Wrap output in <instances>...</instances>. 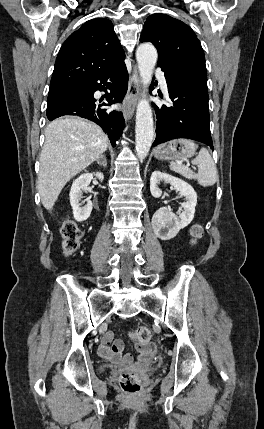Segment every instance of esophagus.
Listing matches in <instances>:
<instances>
[{
	"label": "esophagus",
	"instance_id": "1",
	"mask_svg": "<svg viewBox=\"0 0 264 429\" xmlns=\"http://www.w3.org/2000/svg\"><path fill=\"white\" fill-rule=\"evenodd\" d=\"M140 92V77L137 67H133L132 75L129 79L128 91L123 102V116L129 121L135 112L137 97Z\"/></svg>",
	"mask_w": 264,
	"mask_h": 429
}]
</instances>
